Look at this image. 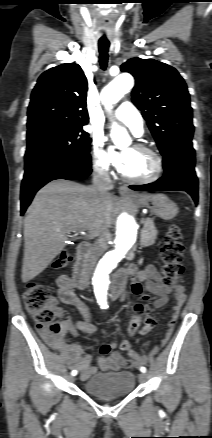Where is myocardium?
<instances>
[{
	"label": "myocardium",
	"mask_w": 212,
	"mask_h": 438,
	"mask_svg": "<svg viewBox=\"0 0 212 438\" xmlns=\"http://www.w3.org/2000/svg\"><path fill=\"white\" fill-rule=\"evenodd\" d=\"M134 148L141 150V151H144L152 156V158L154 160V164H155V170L150 176H148L146 178H142V179H134V178L128 177L122 171H120V175H121L122 179L128 183L136 184V185L150 184V183H153V182L159 180L163 174V171H164V163H163V159L160 156V154L158 152H156L155 150H153L152 148H150L146 145H143V144H136L134 146Z\"/></svg>",
	"instance_id": "myocardium-1"
}]
</instances>
